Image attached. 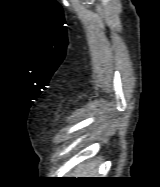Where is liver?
<instances>
[{"instance_id": "1", "label": "liver", "mask_w": 160, "mask_h": 187, "mask_svg": "<svg viewBox=\"0 0 160 187\" xmlns=\"http://www.w3.org/2000/svg\"><path fill=\"white\" fill-rule=\"evenodd\" d=\"M74 177H83V178H94L96 175V169L93 167L91 163L87 165H80L75 168L74 172L72 173Z\"/></svg>"}]
</instances>
